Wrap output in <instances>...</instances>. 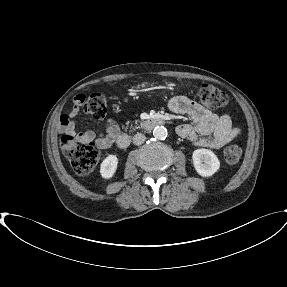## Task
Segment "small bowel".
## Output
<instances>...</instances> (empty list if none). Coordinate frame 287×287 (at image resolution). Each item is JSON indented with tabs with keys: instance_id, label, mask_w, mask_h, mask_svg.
Instances as JSON below:
<instances>
[{
	"instance_id": "small-bowel-1",
	"label": "small bowel",
	"mask_w": 287,
	"mask_h": 287,
	"mask_svg": "<svg viewBox=\"0 0 287 287\" xmlns=\"http://www.w3.org/2000/svg\"><path fill=\"white\" fill-rule=\"evenodd\" d=\"M168 107L172 112L188 115L192 119L193 125L181 124L177 127V133L196 146L219 149L239 134L238 128L232 125L231 118L227 113L217 115L185 96L171 98ZM79 110L80 107L75 99L72 110L62 114L59 118L61 131L75 132L74 121ZM104 127L105 134H96L94 131L87 130L81 135L89 141H95L100 148H109L120 134V127L112 118L104 122Z\"/></svg>"
}]
</instances>
